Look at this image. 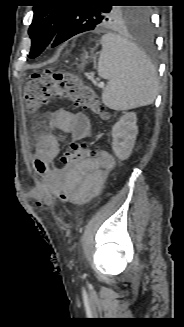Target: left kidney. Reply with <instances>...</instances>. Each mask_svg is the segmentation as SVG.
<instances>
[{"label":"left kidney","mask_w":184,"mask_h":327,"mask_svg":"<svg viewBox=\"0 0 184 327\" xmlns=\"http://www.w3.org/2000/svg\"><path fill=\"white\" fill-rule=\"evenodd\" d=\"M136 122V113L128 112L112 127V148L120 160H126L131 155L138 134Z\"/></svg>","instance_id":"5707ae66"}]
</instances>
